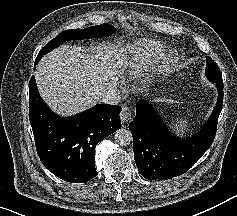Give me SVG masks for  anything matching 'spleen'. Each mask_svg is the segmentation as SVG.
Segmentation results:
<instances>
[{
	"label": "spleen",
	"mask_w": 237,
	"mask_h": 216,
	"mask_svg": "<svg viewBox=\"0 0 237 216\" xmlns=\"http://www.w3.org/2000/svg\"><path fill=\"white\" fill-rule=\"evenodd\" d=\"M178 124H179V122H178V119L175 121V124H174V126L176 125V127L178 126ZM173 125V124H172ZM175 128V127H174ZM183 128H184V126H183ZM178 130H179V128H178Z\"/></svg>",
	"instance_id": "obj_1"
}]
</instances>
